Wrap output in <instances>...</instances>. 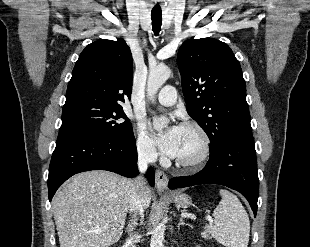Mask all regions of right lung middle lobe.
I'll use <instances>...</instances> for the list:
<instances>
[{
    "instance_id": "obj_1",
    "label": "right lung middle lobe",
    "mask_w": 310,
    "mask_h": 247,
    "mask_svg": "<svg viewBox=\"0 0 310 247\" xmlns=\"http://www.w3.org/2000/svg\"><path fill=\"white\" fill-rule=\"evenodd\" d=\"M125 119L122 122L120 119ZM91 130L115 139L131 134L132 125L122 108L77 106L63 110L60 131Z\"/></svg>"
}]
</instances>
